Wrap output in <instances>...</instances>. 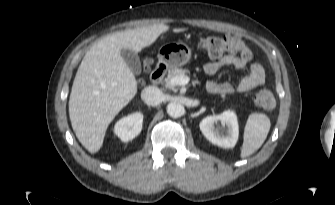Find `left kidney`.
Instances as JSON below:
<instances>
[{
	"label": "left kidney",
	"instance_id": "obj_1",
	"mask_svg": "<svg viewBox=\"0 0 335 205\" xmlns=\"http://www.w3.org/2000/svg\"><path fill=\"white\" fill-rule=\"evenodd\" d=\"M220 121L226 129L220 130L215 124ZM200 130L213 144L223 148H233L238 140L239 126L236 114L226 110L219 115L207 116L200 122Z\"/></svg>",
	"mask_w": 335,
	"mask_h": 205
}]
</instances>
